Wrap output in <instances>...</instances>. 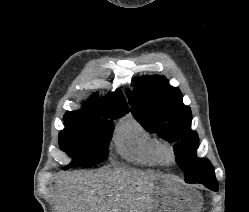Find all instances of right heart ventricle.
I'll list each match as a JSON object with an SVG mask.
<instances>
[{"mask_svg":"<svg viewBox=\"0 0 249 212\" xmlns=\"http://www.w3.org/2000/svg\"><path fill=\"white\" fill-rule=\"evenodd\" d=\"M112 145L122 158L134 164L149 168H164L170 164L161 155V139L131 115L117 124Z\"/></svg>","mask_w":249,"mask_h":212,"instance_id":"1","label":"right heart ventricle"}]
</instances>
